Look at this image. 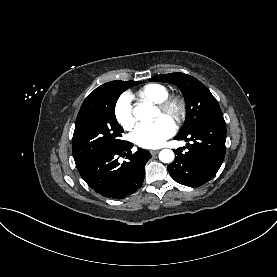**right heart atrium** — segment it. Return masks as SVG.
I'll use <instances>...</instances> for the list:
<instances>
[{
	"instance_id": "1",
	"label": "right heart atrium",
	"mask_w": 277,
	"mask_h": 277,
	"mask_svg": "<svg viewBox=\"0 0 277 277\" xmlns=\"http://www.w3.org/2000/svg\"><path fill=\"white\" fill-rule=\"evenodd\" d=\"M114 114L117 122L124 129H131L135 123L131 97L128 94H122L114 108Z\"/></svg>"
}]
</instances>
